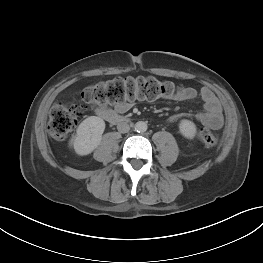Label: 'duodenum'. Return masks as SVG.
<instances>
[{
  "mask_svg": "<svg viewBox=\"0 0 263 263\" xmlns=\"http://www.w3.org/2000/svg\"><path fill=\"white\" fill-rule=\"evenodd\" d=\"M103 116L106 120L113 122V123H122L126 121V118L115 114V113H111V112H105L103 113Z\"/></svg>",
  "mask_w": 263,
  "mask_h": 263,
  "instance_id": "duodenum-1",
  "label": "duodenum"
}]
</instances>
